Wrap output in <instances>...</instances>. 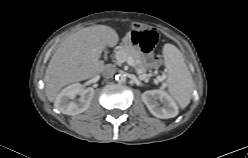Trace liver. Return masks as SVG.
I'll list each match as a JSON object with an SVG mask.
<instances>
[{
	"mask_svg": "<svg viewBox=\"0 0 248 158\" xmlns=\"http://www.w3.org/2000/svg\"><path fill=\"white\" fill-rule=\"evenodd\" d=\"M119 41L117 32L106 25H95L78 30L62 41L46 69L45 92L55 102L59 91L75 82L98 75L104 69L102 51Z\"/></svg>",
	"mask_w": 248,
	"mask_h": 158,
	"instance_id": "6515ba94",
	"label": "liver"
}]
</instances>
